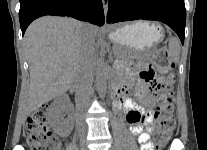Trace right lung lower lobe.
<instances>
[{
  "label": "right lung lower lobe",
  "instance_id": "1",
  "mask_svg": "<svg viewBox=\"0 0 207 150\" xmlns=\"http://www.w3.org/2000/svg\"><path fill=\"white\" fill-rule=\"evenodd\" d=\"M45 15L70 16L99 26L104 24L102 0H20L22 34L33 20Z\"/></svg>",
  "mask_w": 207,
  "mask_h": 150
}]
</instances>
